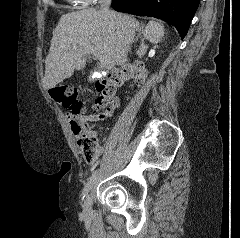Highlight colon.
Returning a JSON list of instances; mask_svg holds the SVG:
<instances>
[{"instance_id": "obj_1", "label": "colon", "mask_w": 240, "mask_h": 238, "mask_svg": "<svg viewBox=\"0 0 240 238\" xmlns=\"http://www.w3.org/2000/svg\"><path fill=\"white\" fill-rule=\"evenodd\" d=\"M146 77L143 65L133 64L120 71H114L96 84V108H109L115 100L117 90L128 80L141 83ZM51 98L71 110L70 126L76 136L80 153L87 162H93L98 155V143L94 132L79 120L83 102L78 99V89L71 84H60L49 90Z\"/></svg>"}]
</instances>
